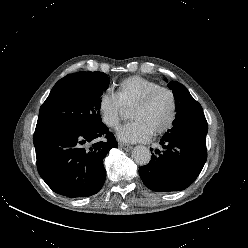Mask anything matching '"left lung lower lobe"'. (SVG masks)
<instances>
[{
	"label": "left lung lower lobe",
	"mask_w": 248,
	"mask_h": 248,
	"mask_svg": "<svg viewBox=\"0 0 248 248\" xmlns=\"http://www.w3.org/2000/svg\"><path fill=\"white\" fill-rule=\"evenodd\" d=\"M150 162L139 168L146 187L157 192L181 191L200 174L206 159V135L176 132L164 135Z\"/></svg>",
	"instance_id": "1"
}]
</instances>
